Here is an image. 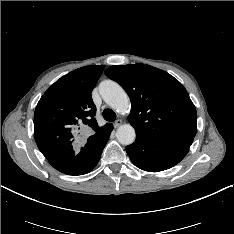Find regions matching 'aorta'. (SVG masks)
Returning <instances> with one entry per match:
<instances>
[{"label": "aorta", "mask_w": 234, "mask_h": 234, "mask_svg": "<svg viewBox=\"0 0 234 234\" xmlns=\"http://www.w3.org/2000/svg\"><path fill=\"white\" fill-rule=\"evenodd\" d=\"M103 100L119 113H125L130 109V99L125 90L114 81H104L99 86ZM136 132L130 124L118 127L116 138L122 145H130L135 141Z\"/></svg>", "instance_id": "1"}]
</instances>
